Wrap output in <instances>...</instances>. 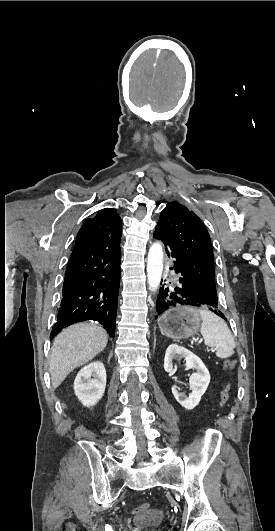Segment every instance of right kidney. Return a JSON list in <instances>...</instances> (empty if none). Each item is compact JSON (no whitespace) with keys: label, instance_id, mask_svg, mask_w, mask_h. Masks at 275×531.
<instances>
[{"label":"right kidney","instance_id":"right-kidney-1","mask_svg":"<svg viewBox=\"0 0 275 531\" xmlns=\"http://www.w3.org/2000/svg\"><path fill=\"white\" fill-rule=\"evenodd\" d=\"M106 377V369L101 361H93L79 371L74 381V393L84 407H94L102 399Z\"/></svg>","mask_w":275,"mask_h":531}]
</instances>
